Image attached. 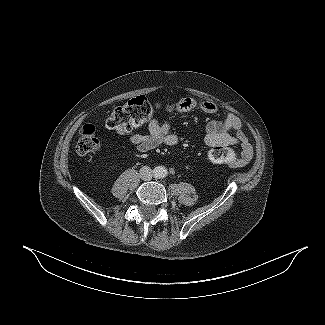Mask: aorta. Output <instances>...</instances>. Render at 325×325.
<instances>
[{
	"label": "aorta",
	"instance_id": "aorta-1",
	"mask_svg": "<svg viewBox=\"0 0 325 325\" xmlns=\"http://www.w3.org/2000/svg\"><path fill=\"white\" fill-rule=\"evenodd\" d=\"M154 175L156 178H164L167 175V169L164 166H157L154 169Z\"/></svg>",
	"mask_w": 325,
	"mask_h": 325
}]
</instances>
